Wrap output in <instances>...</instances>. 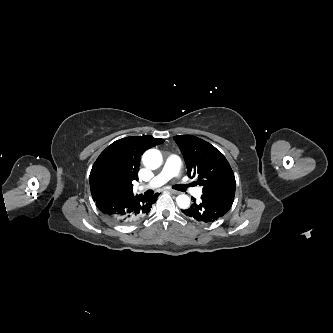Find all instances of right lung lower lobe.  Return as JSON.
Masks as SVG:
<instances>
[{
	"instance_id": "right-lung-lower-lobe-1",
	"label": "right lung lower lobe",
	"mask_w": 333,
	"mask_h": 333,
	"mask_svg": "<svg viewBox=\"0 0 333 333\" xmlns=\"http://www.w3.org/2000/svg\"><path fill=\"white\" fill-rule=\"evenodd\" d=\"M158 194L152 197L143 195H109L95 201L97 208L111 221L130 225L150 212Z\"/></svg>"
}]
</instances>
